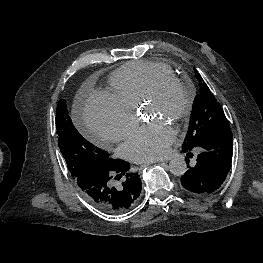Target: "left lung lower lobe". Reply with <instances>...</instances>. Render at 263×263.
<instances>
[{
    "mask_svg": "<svg viewBox=\"0 0 263 263\" xmlns=\"http://www.w3.org/2000/svg\"><path fill=\"white\" fill-rule=\"evenodd\" d=\"M202 152L194 167L187 160L186 173L181 177L182 186L196 195L216 191L230 170L233 154V137L230 128H220L208 134L197 144ZM184 152L188 149H182Z\"/></svg>",
    "mask_w": 263,
    "mask_h": 263,
    "instance_id": "0a47b994",
    "label": "left lung lower lobe"
}]
</instances>
